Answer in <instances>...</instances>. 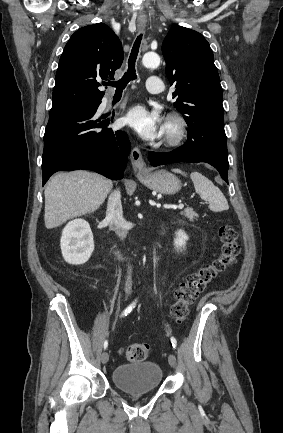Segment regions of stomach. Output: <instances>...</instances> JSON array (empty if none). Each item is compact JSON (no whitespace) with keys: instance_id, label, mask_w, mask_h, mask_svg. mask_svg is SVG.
<instances>
[{"instance_id":"stomach-1","label":"stomach","mask_w":283,"mask_h":433,"mask_svg":"<svg viewBox=\"0 0 283 433\" xmlns=\"http://www.w3.org/2000/svg\"><path fill=\"white\" fill-rule=\"evenodd\" d=\"M141 178V182L163 194H175L181 188V182L175 174H171L168 170H155V172H137Z\"/></svg>"}]
</instances>
